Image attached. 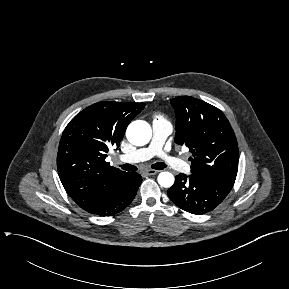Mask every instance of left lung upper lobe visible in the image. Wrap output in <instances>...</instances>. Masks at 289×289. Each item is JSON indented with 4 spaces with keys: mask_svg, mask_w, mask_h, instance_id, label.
I'll return each mask as SVG.
<instances>
[{
    "mask_svg": "<svg viewBox=\"0 0 289 289\" xmlns=\"http://www.w3.org/2000/svg\"><path fill=\"white\" fill-rule=\"evenodd\" d=\"M176 113L175 142L193 154L194 175L233 187L239 161L234 131L218 108L190 96L171 99Z\"/></svg>",
    "mask_w": 289,
    "mask_h": 289,
    "instance_id": "obj_1",
    "label": "left lung upper lobe"
}]
</instances>
